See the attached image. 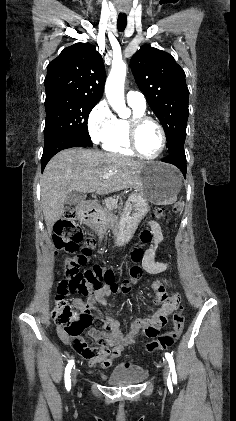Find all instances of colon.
<instances>
[{"mask_svg": "<svg viewBox=\"0 0 236 421\" xmlns=\"http://www.w3.org/2000/svg\"><path fill=\"white\" fill-rule=\"evenodd\" d=\"M182 209L183 204L177 202L169 210L164 208L157 209L155 215L158 218H165L169 214L181 212ZM83 238L84 233L76 223L74 209H65L62 218L55 224L53 241L56 249L64 250L70 256L66 261L61 281L57 287L52 317L57 327L67 335L69 344L73 349L83 357H90L97 355L101 351L107 350L109 352V350L106 348L105 342L102 343V348H91L83 340L81 335L92 321L91 308L88 305L72 304L65 299L66 296L72 293L90 296L93 292L103 288H108L112 294L129 293L132 284L141 278L142 268L137 265L131 267L129 271L130 278L120 284L115 282L113 271L102 265H94L81 272L79 268L86 264L88 257L91 255V245L93 244L92 239H90L87 246L80 247ZM150 238L151 233L149 231H143L140 234L142 244L149 242ZM142 256L143 249L140 246H136L131 251L133 262H138ZM174 302L175 305H179V309L172 316L171 330L149 342L146 345L148 352L169 348L182 334L185 321L184 306L177 298L174 299ZM162 320L159 319L157 323H162ZM149 329L152 332L156 330L155 327H150Z\"/></svg>", "mask_w": 236, "mask_h": 421, "instance_id": "5ec220e1", "label": "colon"}]
</instances>
